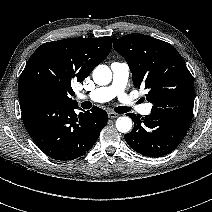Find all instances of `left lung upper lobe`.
I'll return each mask as SVG.
<instances>
[{"instance_id": "obj_1", "label": "left lung upper lobe", "mask_w": 212, "mask_h": 212, "mask_svg": "<svg viewBox=\"0 0 212 212\" xmlns=\"http://www.w3.org/2000/svg\"><path fill=\"white\" fill-rule=\"evenodd\" d=\"M113 47L126 59L134 85L149 90L146 98L154 108H193V78L171 44L133 33L113 38Z\"/></svg>"}]
</instances>
